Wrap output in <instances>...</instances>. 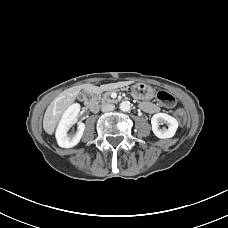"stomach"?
Masks as SVG:
<instances>
[{
  "label": "stomach",
  "instance_id": "obj_1",
  "mask_svg": "<svg viewBox=\"0 0 228 228\" xmlns=\"http://www.w3.org/2000/svg\"><path fill=\"white\" fill-rule=\"evenodd\" d=\"M132 94L141 100H150L154 96V91L151 86L146 83L139 82L131 87Z\"/></svg>",
  "mask_w": 228,
  "mask_h": 228
}]
</instances>
